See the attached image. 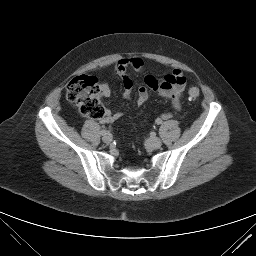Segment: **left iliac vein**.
I'll return each instance as SVG.
<instances>
[{"label": "left iliac vein", "mask_w": 256, "mask_h": 256, "mask_svg": "<svg viewBox=\"0 0 256 256\" xmlns=\"http://www.w3.org/2000/svg\"><path fill=\"white\" fill-rule=\"evenodd\" d=\"M146 143L151 149H159L162 145V141L158 137H150Z\"/></svg>", "instance_id": "left-iliac-vein-1"}]
</instances>
